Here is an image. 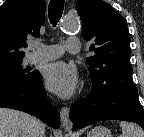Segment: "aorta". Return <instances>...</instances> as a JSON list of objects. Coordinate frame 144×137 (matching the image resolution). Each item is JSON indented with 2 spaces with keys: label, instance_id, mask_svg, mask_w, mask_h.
<instances>
[{
  "label": "aorta",
  "instance_id": "1",
  "mask_svg": "<svg viewBox=\"0 0 144 137\" xmlns=\"http://www.w3.org/2000/svg\"><path fill=\"white\" fill-rule=\"evenodd\" d=\"M61 29L67 32H76L80 28V24L76 19L66 18L61 22Z\"/></svg>",
  "mask_w": 144,
  "mask_h": 137
}]
</instances>
